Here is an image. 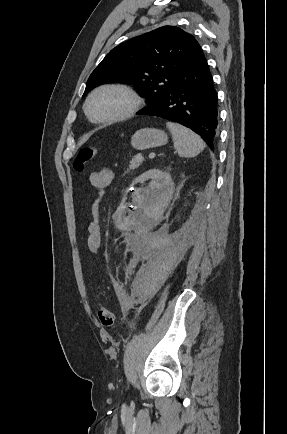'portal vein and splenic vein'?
<instances>
[{
    "label": "portal vein and splenic vein",
    "mask_w": 287,
    "mask_h": 434,
    "mask_svg": "<svg viewBox=\"0 0 287 434\" xmlns=\"http://www.w3.org/2000/svg\"><path fill=\"white\" fill-rule=\"evenodd\" d=\"M154 157H155V153H150V154H149V158H150V159H152V158H154Z\"/></svg>",
    "instance_id": "obj_1"
}]
</instances>
